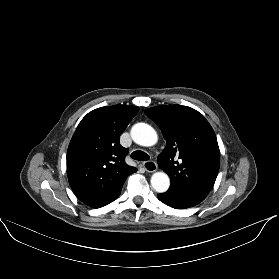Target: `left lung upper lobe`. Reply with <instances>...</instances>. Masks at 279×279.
I'll return each instance as SVG.
<instances>
[{"instance_id": "5c2ea615", "label": "left lung upper lobe", "mask_w": 279, "mask_h": 279, "mask_svg": "<svg viewBox=\"0 0 279 279\" xmlns=\"http://www.w3.org/2000/svg\"><path fill=\"white\" fill-rule=\"evenodd\" d=\"M167 142L158 166L171 180L169 190L205 199L213 187L220 163L216 135L202 114L182 105L145 110Z\"/></svg>"}]
</instances>
